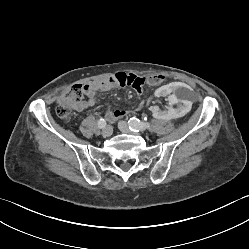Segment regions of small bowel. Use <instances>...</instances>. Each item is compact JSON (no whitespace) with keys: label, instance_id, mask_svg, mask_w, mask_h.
Segmentation results:
<instances>
[{"label":"small bowel","instance_id":"1","mask_svg":"<svg viewBox=\"0 0 249 249\" xmlns=\"http://www.w3.org/2000/svg\"><path fill=\"white\" fill-rule=\"evenodd\" d=\"M133 76L135 75L127 74L124 72H119L112 76H109L104 79L97 80V81H94L92 83L85 85V94H86L87 100L78 104L76 108L78 110H83L86 108L94 107L97 104L96 94L98 91L107 92V91H110V90H113L119 87H126L128 86L127 82L129 78ZM125 114L126 112L123 110L111 111L110 109H108L106 111V117L110 121H115L123 117Z\"/></svg>","mask_w":249,"mask_h":249}]
</instances>
